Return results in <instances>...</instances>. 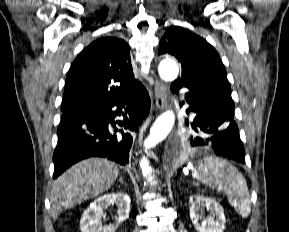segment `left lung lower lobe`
Instances as JSON below:
<instances>
[{
    "label": "left lung lower lobe",
    "mask_w": 289,
    "mask_h": 232,
    "mask_svg": "<svg viewBox=\"0 0 289 232\" xmlns=\"http://www.w3.org/2000/svg\"><path fill=\"white\" fill-rule=\"evenodd\" d=\"M184 86L173 83L177 92ZM186 100L190 111L196 113L191 123L196 133L187 135V152L214 153L245 163V152L239 130L234 121V106L206 93L189 91ZM189 112V111H187Z\"/></svg>",
    "instance_id": "obj_1"
}]
</instances>
